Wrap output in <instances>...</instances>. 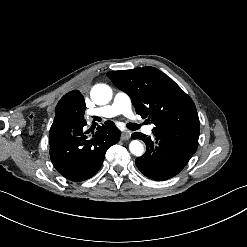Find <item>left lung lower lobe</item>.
I'll return each mask as SVG.
<instances>
[{"label":"left lung lower lobe","instance_id":"1","mask_svg":"<svg viewBox=\"0 0 247 247\" xmlns=\"http://www.w3.org/2000/svg\"><path fill=\"white\" fill-rule=\"evenodd\" d=\"M131 137L146 143L145 154L135 162L138 169L152 180L163 181L177 175L194 154L174 142L159 139L157 136L156 142L139 132L133 133Z\"/></svg>","mask_w":247,"mask_h":247}]
</instances>
